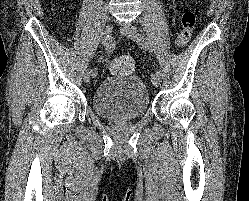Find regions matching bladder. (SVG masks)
Listing matches in <instances>:
<instances>
[{"mask_svg":"<svg viewBox=\"0 0 249 201\" xmlns=\"http://www.w3.org/2000/svg\"><path fill=\"white\" fill-rule=\"evenodd\" d=\"M92 106L95 113L110 120H134L149 109V96L140 77L110 76L98 84Z\"/></svg>","mask_w":249,"mask_h":201,"instance_id":"31cf9c89","label":"bladder"}]
</instances>
